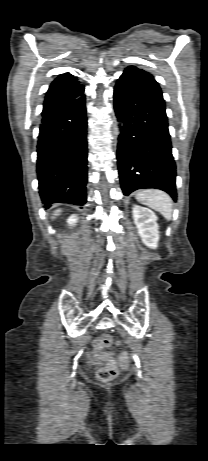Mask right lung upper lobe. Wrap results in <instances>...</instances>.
Returning <instances> with one entry per match:
<instances>
[{
	"label": "right lung upper lobe",
	"instance_id": "cb5924a9",
	"mask_svg": "<svg viewBox=\"0 0 208 461\" xmlns=\"http://www.w3.org/2000/svg\"><path fill=\"white\" fill-rule=\"evenodd\" d=\"M84 92L81 85L70 73L60 74L56 77L45 96L43 108L73 100Z\"/></svg>",
	"mask_w": 208,
	"mask_h": 461
}]
</instances>
